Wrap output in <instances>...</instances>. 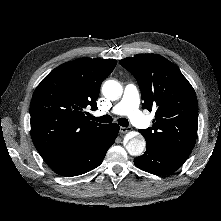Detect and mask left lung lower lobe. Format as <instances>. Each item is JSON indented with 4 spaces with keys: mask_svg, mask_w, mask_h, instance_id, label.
<instances>
[{
    "mask_svg": "<svg viewBox=\"0 0 221 221\" xmlns=\"http://www.w3.org/2000/svg\"><path fill=\"white\" fill-rule=\"evenodd\" d=\"M146 152L134 159L135 165L149 173L168 174L180 168L187 156L165 151L154 146H146Z\"/></svg>",
    "mask_w": 221,
    "mask_h": 221,
    "instance_id": "obj_1",
    "label": "left lung lower lobe"
}]
</instances>
